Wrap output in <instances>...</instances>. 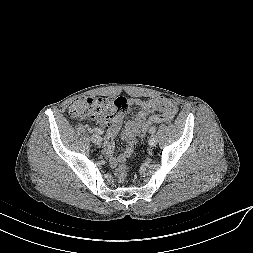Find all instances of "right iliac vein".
Returning a JSON list of instances; mask_svg holds the SVG:
<instances>
[{
    "label": "right iliac vein",
    "mask_w": 253,
    "mask_h": 253,
    "mask_svg": "<svg viewBox=\"0 0 253 253\" xmlns=\"http://www.w3.org/2000/svg\"><path fill=\"white\" fill-rule=\"evenodd\" d=\"M91 140L94 144L100 145L102 143V138L98 134H93Z\"/></svg>",
    "instance_id": "right-iliac-vein-1"
}]
</instances>
